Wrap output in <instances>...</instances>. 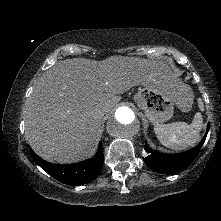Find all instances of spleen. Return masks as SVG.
<instances>
[{
  "mask_svg": "<svg viewBox=\"0 0 221 221\" xmlns=\"http://www.w3.org/2000/svg\"><path fill=\"white\" fill-rule=\"evenodd\" d=\"M186 87L190 89L189 86ZM202 127L203 118L201 113L198 112L191 124L185 122L157 124L154 126V132L162 145L173 150H184L198 142L199 131Z\"/></svg>",
  "mask_w": 221,
  "mask_h": 221,
  "instance_id": "3e777b00",
  "label": "spleen"
}]
</instances>
